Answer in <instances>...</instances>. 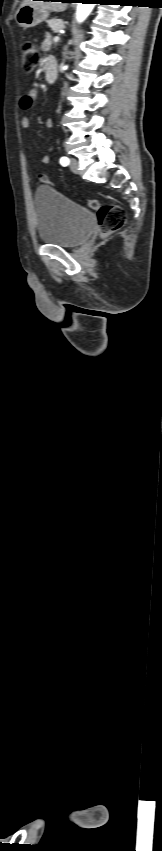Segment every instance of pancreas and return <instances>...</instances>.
<instances>
[{"label": "pancreas", "instance_id": "obj_1", "mask_svg": "<svg viewBox=\"0 0 162 851\" xmlns=\"http://www.w3.org/2000/svg\"><path fill=\"white\" fill-rule=\"evenodd\" d=\"M48 25L55 33L65 28L63 21L58 19L49 20Z\"/></svg>", "mask_w": 162, "mask_h": 851}]
</instances>
